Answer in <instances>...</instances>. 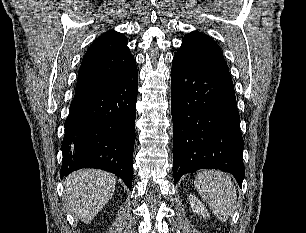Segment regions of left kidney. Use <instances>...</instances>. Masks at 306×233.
I'll return each mask as SVG.
<instances>
[{
    "label": "left kidney",
    "mask_w": 306,
    "mask_h": 233,
    "mask_svg": "<svg viewBox=\"0 0 306 233\" xmlns=\"http://www.w3.org/2000/svg\"><path fill=\"white\" fill-rule=\"evenodd\" d=\"M189 202H190V206H191L194 213L200 215L204 219L210 217V214L208 213L207 209L204 207L202 202L197 197L190 194L189 195Z\"/></svg>",
    "instance_id": "1"
}]
</instances>
